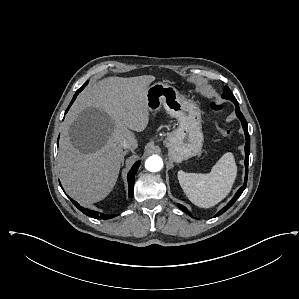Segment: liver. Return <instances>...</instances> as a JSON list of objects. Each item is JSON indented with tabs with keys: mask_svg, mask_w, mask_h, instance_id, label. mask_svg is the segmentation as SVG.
<instances>
[{
	"mask_svg": "<svg viewBox=\"0 0 299 299\" xmlns=\"http://www.w3.org/2000/svg\"><path fill=\"white\" fill-rule=\"evenodd\" d=\"M154 80L152 75L108 77L85 88L71 107L60 138L58 168L65 191L81 205L103 200L115 186L123 140L148 125L146 95ZM78 120L85 122L80 131L72 128Z\"/></svg>",
	"mask_w": 299,
	"mask_h": 299,
	"instance_id": "6515ba94",
	"label": "liver"
}]
</instances>
